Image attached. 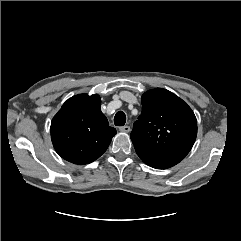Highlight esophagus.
Segmentation results:
<instances>
[{"mask_svg":"<svg viewBox=\"0 0 241 241\" xmlns=\"http://www.w3.org/2000/svg\"><path fill=\"white\" fill-rule=\"evenodd\" d=\"M121 132L128 133L130 131V127L128 125L122 126L119 128Z\"/></svg>","mask_w":241,"mask_h":241,"instance_id":"1","label":"esophagus"}]
</instances>
